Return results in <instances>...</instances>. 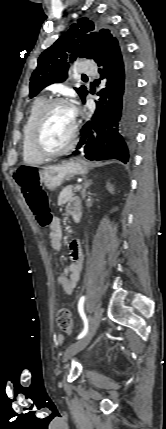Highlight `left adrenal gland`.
Returning <instances> with one entry per match:
<instances>
[{
  "instance_id": "1",
  "label": "left adrenal gland",
  "mask_w": 166,
  "mask_h": 429,
  "mask_svg": "<svg viewBox=\"0 0 166 429\" xmlns=\"http://www.w3.org/2000/svg\"><path fill=\"white\" fill-rule=\"evenodd\" d=\"M92 180L85 179L83 182V189L81 191L82 199L84 200L86 197V189L91 185Z\"/></svg>"
}]
</instances>
